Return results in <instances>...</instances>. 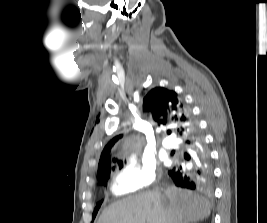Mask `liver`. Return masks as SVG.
Instances as JSON below:
<instances>
[{
  "label": "liver",
  "instance_id": "1",
  "mask_svg": "<svg viewBox=\"0 0 267 223\" xmlns=\"http://www.w3.org/2000/svg\"><path fill=\"white\" fill-rule=\"evenodd\" d=\"M210 213L206 198L171 186L117 201L102 212L97 223H193Z\"/></svg>",
  "mask_w": 267,
  "mask_h": 223
}]
</instances>
